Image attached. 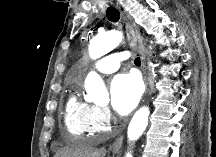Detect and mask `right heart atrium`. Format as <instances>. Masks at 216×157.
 I'll use <instances>...</instances> for the list:
<instances>
[{"instance_id": "right-heart-atrium-1", "label": "right heart atrium", "mask_w": 216, "mask_h": 157, "mask_svg": "<svg viewBox=\"0 0 216 157\" xmlns=\"http://www.w3.org/2000/svg\"><path fill=\"white\" fill-rule=\"evenodd\" d=\"M112 123V115L108 108L93 105L88 116V129L92 134L105 133Z\"/></svg>"}]
</instances>
